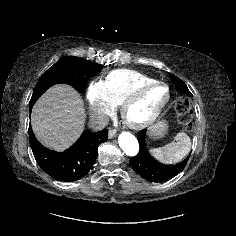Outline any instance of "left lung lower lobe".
<instances>
[{
	"label": "left lung lower lobe",
	"mask_w": 236,
	"mask_h": 236,
	"mask_svg": "<svg viewBox=\"0 0 236 236\" xmlns=\"http://www.w3.org/2000/svg\"><path fill=\"white\" fill-rule=\"evenodd\" d=\"M146 131L138 132L139 152L130 159V165L136 173L151 182H165L176 176L186 166L189 156L179 164L164 165L156 161L145 146Z\"/></svg>",
	"instance_id": "1"
}]
</instances>
